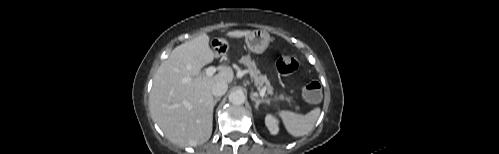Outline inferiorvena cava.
<instances>
[{
	"label": "inferior vena cava",
	"instance_id": "obj_1",
	"mask_svg": "<svg viewBox=\"0 0 499 154\" xmlns=\"http://www.w3.org/2000/svg\"><path fill=\"white\" fill-rule=\"evenodd\" d=\"M227 89H228V85L226 82H223V81L217 82L212 87V94L215 97H221L227 92Z\"/></svg>",
	"mask_w": 499,
	"mask_h": 154
}]
</instances>
